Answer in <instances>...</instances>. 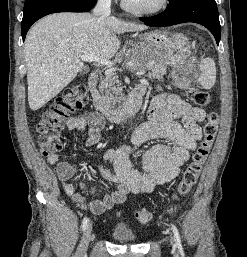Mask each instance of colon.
Here are the masks:
<instances>
[{
	"label": "colon",
	"instance_id": "obj_1",
	"mask_svg": "<svg viewBox=\"0 0 247 257\" xmlns=\"http://www.w3.org/2000/svg\"><path fill=\"white\" fill-rule=\"evenodd\" d=\"M187 96L195 105L203 107L209 104V94L201 89L192 88ZM88 102L87 89L83 84H75L66 88L56 97L37 123L38 143L45 156L57 153L62 148L61 130L71 113L83 108ZM219 116L216 112L208 115L203 126V139L193 154L192 161L184 170L173 197L185 196L195 185L202 167L209 155L218 131ZM141 224H147L152 213L148 208H141L135 213Z\"/></svg>",
	"mask_w": 247,
	"mask_h": 257
}]
</instances>
